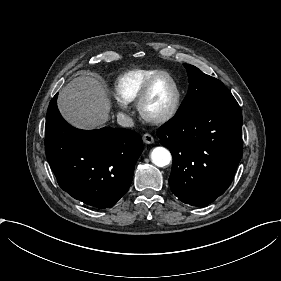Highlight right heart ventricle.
<instances>
[{
    "mask_svg": "<svg viewBox=\"0 0 281 281\" xmlns=\"http://www.w3.org/2000/svg\"><path fill=\"white\" fill-rule=\"evenodd\" d=\"M166 73L161 69H137L120 75L114 83L117 99L122 103L136 102L147 82L154 76Z\"/></svg>",
    "mask_w": 281,
    "mask_h": 281,
    "instance_id": "right-heart-ventricle-1",
    "label": "right heart ventricle"
}]
</instances>
